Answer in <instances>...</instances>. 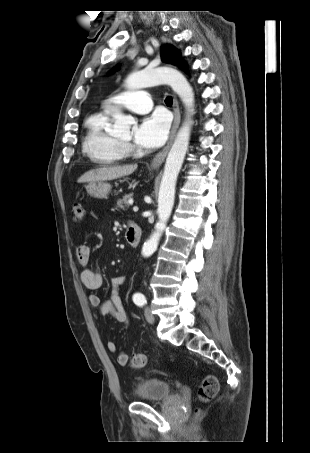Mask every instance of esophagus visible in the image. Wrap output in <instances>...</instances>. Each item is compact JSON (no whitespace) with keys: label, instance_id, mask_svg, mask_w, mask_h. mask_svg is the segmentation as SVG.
Returning <instances> with one entry per match:
<instances>
[{"label":"esophagus","instance_id":"esophagus-1","mask_svg":"<svg viewBox=\"0 0 310 453\" xmlns=\"http://www.w3.org/2000/svg\"><path fill=\"white\" fill-rule=\"evenodd\" d=\"M173 113H174V122H173V126L171 129L169 141H168L167 145L159 153H157L156 156L153 158V160L151 162V167H153V168L159 167L164 162L166 155H167V153L173 143V140L176 136V132H177V129L180 124L181 114H180L179 104H178V100H177L176 96H174V98H173Z\"/></svg>","mask_w":310,"mask_h":453}]
</instances>
